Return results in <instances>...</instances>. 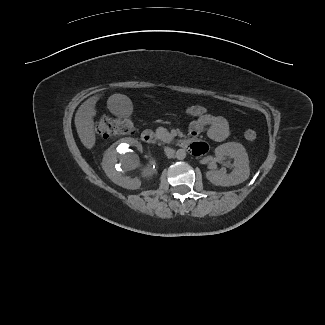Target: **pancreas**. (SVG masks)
<instances>
[{"instance_id": "1", "label": "pancreas", "mask_w": 325, "mask_h": 325, "mask_svg": "<svg viewBox=\"0 0 325 325\" xmlns=\"http://www.w3.org/2000/svg\"><path fill=\"white\" fill-rule=\"evenodd\" d=\"M156 136L158 139L165 143H170L173 140V136L168 132L166 128L159 127L156 129Z\"/></svg>"}]
</instances>
